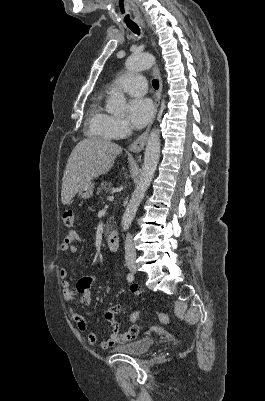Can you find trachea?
Wrapping results in <instances>:
<instances>
[{"mask_svg":"<svg viewBox=\"0 0 265 401\" xmlns=\"http://www.w3.org/2000/svg\"><path fill=\"white\" fill-rule=\"evenodd\" d=\"M127 27L132 30L135 34L140 33L139 27L136 25L134 22L127 23ZM152 86L154 87L155 90H158L159 88V81L158 80H152Z\"/></svg>","mask_w":265,"mask_h":401,"instance_id":"1","label":"trachea"}]
</instances>
